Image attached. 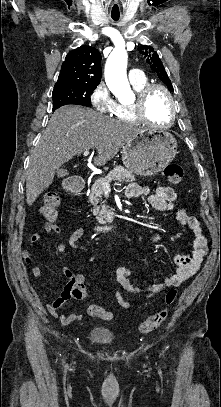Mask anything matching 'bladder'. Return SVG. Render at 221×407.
Listing matches in <instances>:
<instances>
[{
    "instance_id": "obj_1",
    "label": "bladder",
    "mask_w": 221,
    "mask_h": 407,
    "mask_svg": "<svg viewBox=\"0 0 221 407\" xmlns=\"http://www.w3.org/2000/svg\"><path fill=\"white\" fill-rule=\"evenodd\" d=\"M87 336L90 340L102 345H110L115 341L114 332L106 327H92Z\"/></svg>"
}]
</instances>
